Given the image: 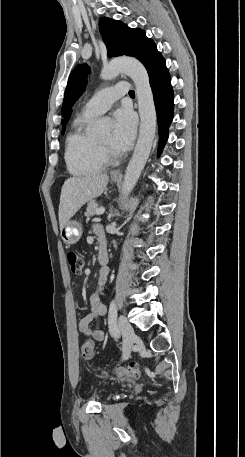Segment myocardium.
Returning a JSON list of instances; mask_svg holds the SVG:
<instances>
[{
    "mask_svg": "<svg viewBox=\"0 0 245 457\" xmlns=\"http://www.w3.org/2000/svg\"><path fill=\"white\" fill-rule=\"evenodd\" d=\"M90 147H91V153L92 155L100 160V161H108V160H111V159H114V158H117L118 155L115 154V153H112L110 151H108L107 149H105L98 141V139L96 138V136H92V139H91V143H90Z\"/></svg>",
    "mask_w": 245,
    "mask_h": 457,
    "instance_id": "1",
    "label": "myocardium"
}]
</instances>
